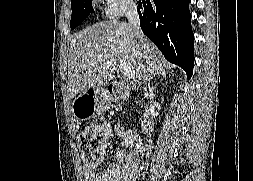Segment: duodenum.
Returning <instances> with one entry per match:
<instances>
[{
    "label": "duodenum",
    "instance_id": "duodenum-1",
    "mask_svg": "<svg viewBox=\"0 0 253 181\" xmlns=\"http://www.w3.org/2000/svg\"><path fill=\"white\" fill-rule=\"evenodd\" d=\"M107 93L112 101H118L127 95V90L123 84H112L108 86ZM150 130H152V122L147 120L143 131L148 133Z\"/></svg>",
    "mask_w": 253,
    "mask_h": 181
}]
</instances>
